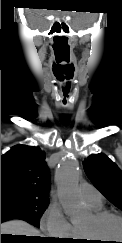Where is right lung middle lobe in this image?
Listing matches in <instances>:
<instances>
[{
  "mask_svg": "<svg viewBox=\"0 0 122 243\" xmlns=\"http://www.w3.org/2000/svg\"><path fill=\"white\" fill-rule=\"evenodd\" d=\"M49 204V199L25 195L1 196V212L21 213L29 216L38 226Z\"/></svg>",
  "mask_w": 122,
  "mask_h": 243,
  "instance_id": "right-lung-middle-lobe-1",
  "label": "right lung middle lobe"
}]
</instances>
